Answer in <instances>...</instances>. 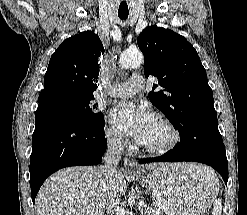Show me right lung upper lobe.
I'll list each match as a JSON object with an SVG mask.
<instances>
[{
    "label": "right lung upper lobe",
    "instance_id": "right-lung-upper-lobe-1",
    "mask_svg": "<svg viewBox=\"0 0 247 215\" xmlns=\"http://www.w3.org/2000/svg\"><path fill=\"white\" fill-rule=\"evenodd\" d=\"M103 53L102 42L93 32H81L64 40L51 56L43 90L68 88L93 95L99 74L98 58Z\"/></svg>",
    "mask_w": 247,
    "mask_h": 215
}]
</instances>
